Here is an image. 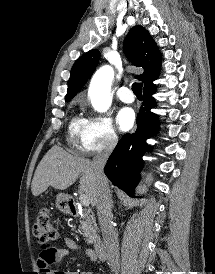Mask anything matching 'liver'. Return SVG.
Instances as JSON below:
<instances>
[{
	"label": "liver",
	"instance_id": "liver-1",
	"mask_svg": "<svg viewBox=\"0 0 215 274\" xmlns=\"http://www.w3.org/2000/svg\"><path fill=\"white\" fill-rule=\"evenodd\" d=\"M81 175L79 190L85 193L90 203L96 205L97 180L92 162L78 155L66 152L59 146H53L38 164L31 191L34 196L43 193L49 186L65 190Z\"/></svg>",
	"mask_w": 215,
	"mask_h": 274
}]
</instances>
